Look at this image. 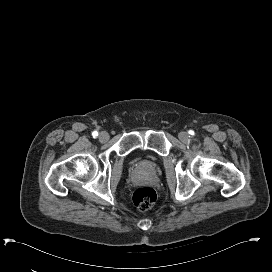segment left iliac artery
<instances>
[{"label": "left iliac artery", "instance_id": "left-iliac-artery-1", "mask_svg": "<svg viewBox=\"0 0 272 272\" xmlns=\"http://www.w3.org/2000/svg\"><path fill=\"white\" fill-rule=\"evenodd\" d=\"M189 134H190V135H194V131H193V130H190V131H189Z\"/></svg>", "mask_w": 272, "mask_h": 272}]
</instances>
